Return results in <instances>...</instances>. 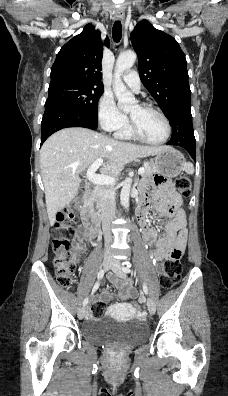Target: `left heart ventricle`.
<instances>
[{"instance_id": "left-heart-ventricle-1", "label": "left heart ventricle", "mask_w": 228, "mask_h": 396, "mask_svg": "<svg viewBox=\"0 0 228 396\" xmlns=\"http://www.w3.org/2000/svg\"><path fill=\"white\" fill-rule=\"evenodd\" d=\"M128 114L144 138L150 141H159L164 138L165 124L157 113L135 104L130 108Z\"/></svg>"}]
</instances>
